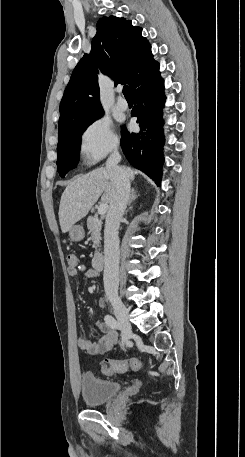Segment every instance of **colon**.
Wrapping results in <instances>:
<instances>
[{
  "mask_svg": "<svg viewBox=\"0 0 245 457\" xmlns=\"http://www.w3.org/2000/svg\"><path fill=\"white\" fill-rule=\"evenodd\" d=\"M67 262L70 268L78 267L77 257L73 254L68 255ZM142 363L138 358H129L125 360L105 359L102 362V372L107 376L122 374L128 371H137L141 368Z\"/></svg>",
  "mask_w": 245,
  "mask_h": 457,
  "instance_id": "1",
  "label": "colon"
}]
</instances>
